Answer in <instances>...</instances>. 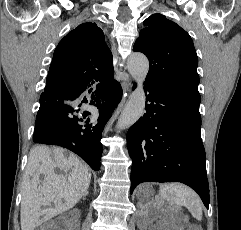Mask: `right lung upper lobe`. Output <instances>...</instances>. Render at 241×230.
<instances>
[{"instance_id": "1", "label": "right lung upper lobe", "mask_w": 241, "mask_h": 230, "mask_svg": "<svg viewBox=\"0 0 241 230\" xmlns=\"http://www.w3.org/2000/svg\"><path fill=\"white\" fill-rule=\"evenodd\" d=\"M113 80V57L103 31L95 23H83L56 47L41 96L62 99Z\"/></svg>"}]
</instances>
